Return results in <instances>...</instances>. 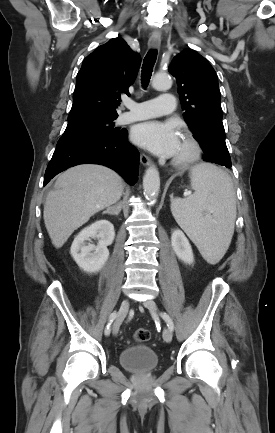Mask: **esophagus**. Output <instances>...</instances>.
Here are the masks:
<instances>
[{"label": "esophagus", "instance_id": "esophagus-1", "mask_svg": "<svg viewBox=\"0 0 275 433\" xmlns=\"http://www.w3.org/2000/svg\"><path fill=\"white\" fill-rule=\"evenodd\" d=\"M160 44H161V35L158 32L152 33V35L150 36L149 41H148L149 48H151V49H158L160 47ZM140 162L144 166H151V165H153V162L150 159V157H148L144 153L140 154Z\"/></svg>", "mask_w": 275, "mask_h": 433}]
</instances>
